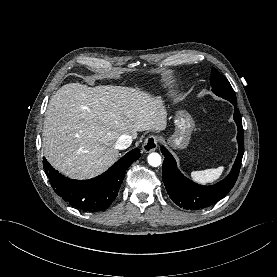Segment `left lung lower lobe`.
Masks as SVG:
<instances>
[{
	"mask_svg": "<svg viewBox=\"0 0 277 277\" xmlns=\"http://www.w3.org/2000/svg\"><path fill=\"white\" fill-rule=\"evenodd\" d=\"M233 105L235 106L234 120L238 128L239 152L230 174L221 182L212 186H203L189 180L179 171L171 153L161 147V152L165 156L162 168L164 185L168 195L178 206L188 210L204 209L219 201L234 186L244 154V138L240 112L236 104Z\"/></svg>",
	"mask_w": 277,
	"mask_h": 277,
	"instance_id": "0a47b994",
	"label": "left lung lower lobe"
}]
</instances>
